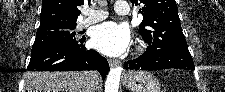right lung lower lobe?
I'll list each match as a JSON object with an SVG mask.
<instances>
[{"instance_id": "obj_1", "label": "right lung lower lobe", "mask_w": 225, "mask_h": 92, "mask_svg": "<svg viewBox=\"0 0 225 92\" xmlns=\"http://www.w3.org/2000/svg\"><path fill=\"white\" fill-rule=\"evenodd\" d=\"M84 41V39H81L71 43L32 48L27 70H97L102 78L105 79L110 69L107 60L97 51L87 50Z\"/></svg>"}]
</instances>
